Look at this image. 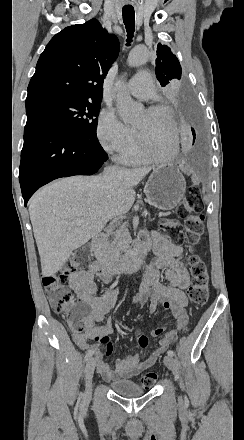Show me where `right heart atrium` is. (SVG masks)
<instances>
[{"instance_id": "obj_1", "label": "right heart atrium", "mask_w": 244, "mask_h": 440, "mask_svg": "<svg viewBox=\"0 0 244 440\" xmlns=\"http://www.w3.org/2000/svg\"><path fill=\"white\" fill-rule=\"evenodd\" d=\"M96 135L102 147L109 154L134 149L138 139L136 130L124 124L111 108H104L101 111Z\"/></svg>"}]
</instances>
